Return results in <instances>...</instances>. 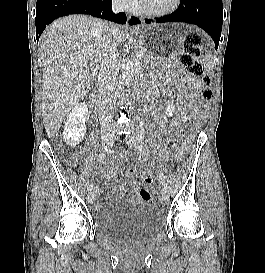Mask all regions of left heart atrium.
I'll return each instance as SVG.
<instances>
[{
    "mask_svg": "<svg viewBox=\"0 0 265 273\" xmlns=\"http://www.w3.org/2000/svg\"><path fill=\"white\" fill-rule=\"evenodd\" d=\"M139 1H142V2H144L145 0H139Z\"/></svg>",
    "mask_w": 265,
    "mask_h": 273,
    "instance_id": "obj_1",
    "label": "left heart atrium"
}]
</instances>
